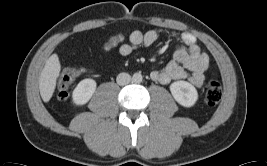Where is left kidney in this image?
Instances as JSON below:
<instances>
[{
    "mask_svg": "<svg viewBox=\"0 0 267 166\" xmlns=\"http://www.w3.org/2000/svg\"><path fill=\"white\" fill-rule=\"evenodd\" d=\"M170 91L174 99L184 107H192L198 99L196 88L187 81L173 82Z\"/></svg>",
    "mask_w": 267,
    "mask_h": 166,
    "instance_id": "1",
    "label": "left kidney"
}]
</instances>
